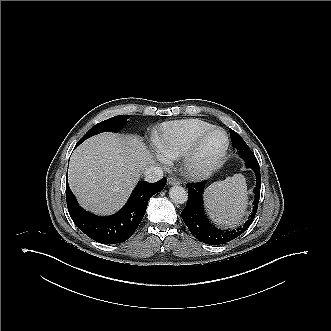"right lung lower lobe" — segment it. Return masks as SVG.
Returning a JSON list of instances; mask_svg holds the SVG:
<instances>
[{
    "instance_id": "right-lung-lower-lobe-1",
    "label": "right lung lower lobe",
    "mask_w": 331,
    "mask_h": 331,
    "mask_svg": "<svg viewBox=\"0 0 331 331\" xmlns=\"http://www.w3.org/2000/svg\"><path fill=\"white\" fill-rule=\"evenodd\" d=\"M80 143L78 142L76 147ZM166 178L156 183L140 181L134 188L126 205L116 214L99 217L83 210L66 184V200L70 216L78 228L91 239L102 244L121 243L129 239L146 212L150 197L161 191Z\"/></svg>"
}]
</instances>
